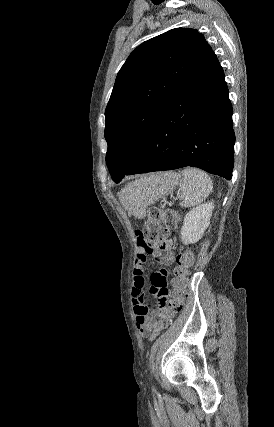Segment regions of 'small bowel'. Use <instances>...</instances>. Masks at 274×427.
Segmentation results:
<instances>
[{
    "label": "small bowel",
    "mask_w": 274,
    "mask_h": 427,
    "mask_svg": "<svg viewBox=\"0 0 274 427\" xmlns=\"http://www.w3.org/2000/svg\"><path fill=\"white\" fill-rule=\"evenodd\" d=\"M172 246L170 245H160L155 247V255L151 258V263L153 265H160L162 262L164 264H171L175 257L172 251ZM137 255L136 262L134 266V275H133V286H132V297H133V310L135 315L136 325L143 336H149V332L152 331V326L150 322V315L153 314L152 310L162 309V302H167L169 300V291L171 283L167 280L165 276V271L163 269H155L153 275H148L146 277V282L152 284L151 292L152 294H158L157 300L152 301L151 307L146 304V296L143 291L144 286V273L147 272L148 267L146 265L147 256L152 255L151 249H146L145 246L139 244L136 247ZM145 251V253L143 252ZM168 252V253H167ZM167 253V254H166ZM160 255H163L160 257Z\"/></svg>",
    "instance_id": "small-bowel-1"
}]
</instances>
